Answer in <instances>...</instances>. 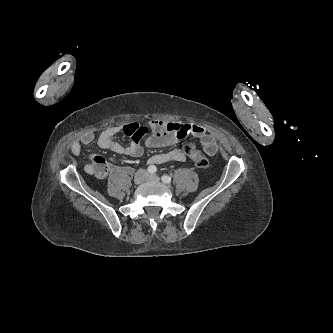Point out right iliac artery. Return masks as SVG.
I'll use <instances>...</instances> for the list:
<instances>
[{
  "instance_id": "right-iliac-artery-1",
  "label": "right iliac artery",
  "mask_w": 333,
  "mask_h": 333,
  "mask_svg": "<svg viewBox=\"0 0 333 333\" xmlns=\"http://www.w3.org/2000/svg\"><path fill=\"white\" fill-rule=\"evenodd\" d=\"M157 171V168L154 165H151L148 167V172L149 173H155Z\"/></svg>"
}]
</instances>
